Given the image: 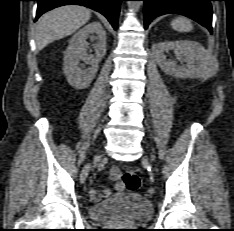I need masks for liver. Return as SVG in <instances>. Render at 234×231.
Instances as JSON below:
<instances>
[{
	"label": "liver",
	"mask_w": 234,
	"mask_h": 231,
	"mask_svg": "<svg viewBox=\"0 0 234 231\" xmlns=\"http://www.w3.org/2000/svg\"><path fill=\"white\" fill-rule=\"evenodd\" d=\"M90 17V10L78 5H67L45 13L36 27L37 49L42 50L49 43L73 34Z\"/></svg>",
	"instance_id": "obj_1"
}]
</instances>
